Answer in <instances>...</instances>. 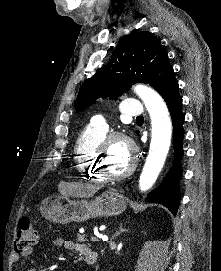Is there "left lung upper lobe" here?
<instances>
[{
    "label": "left lung upper lobe",
    "mask_w": 221,
    "mask_h": 271,
    "mask_svg": "<svg viewBox=\"0 0 221 271\" xmlns=\"http://www.w3.org/2000/svg\"><path fill=\"white\" fill-rule=\"evenodd\" d=\"M175 81L161 42L148 33H134L123 38L110 61L83 82L75 108L83 110L100 96L118 97L137 82L150 84L161 95Z\"/></svg>",
    "instance_id": "1"
}]
</instances>
